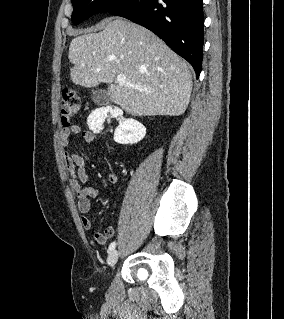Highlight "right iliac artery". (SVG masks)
Instances as JSON below:
<instances>
[{"mask_svg":"<svg viewBox=\"0 0 284 319\" xmlns=\"http://www.w3.org/2000/svg\"><path fill=\"white\" fill-rule=\"evenodd\" d=\"M115 246H116V242H112V243L109 245L108 252H111L112 250H114Z\"/></svg>","mask_w":284,"mask_h":319,"instance_id":"1","label":"right iliac artery"}]
</instances>
